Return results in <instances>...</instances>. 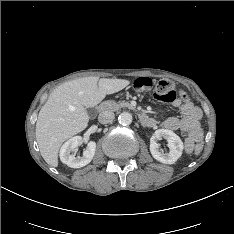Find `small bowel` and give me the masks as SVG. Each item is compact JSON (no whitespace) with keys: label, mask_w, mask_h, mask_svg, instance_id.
<instances>
[{"label":"small bowel","mask_w":234,"mask_h":234,"mask_svg":"<svg viewBox=\"0 0 234 234\" xmlns=\"http://www.w3.org/2000/svg\"><path fill=\"white\" fill-rule=\"evenodd\" d=\"M167 103L178 108L181 117L167 118L162 124L163 127L166 130H181L187 133L189 135L187 140V148H190L193 141L200 140L203 136V132L200 126V120L202 118L201 110L194 106L191 102L182 103V101L178 98L168 101ZM144 125L148 127H154L156 125V121L153 118H149V122Z\"/></svg>","instance_id":"small-bowel-1"}]
</instances>
